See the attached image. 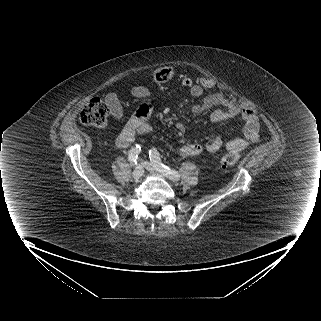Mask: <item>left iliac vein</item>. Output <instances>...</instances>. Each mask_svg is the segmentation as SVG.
Masks as SVG:
<instances>
[{
    "label": "left iliac vein",
    "instance_id": "obj_1",
    "mask_svg": "<svg viewBox=\"0 0 321 321\" xmlns=\"http://www.w3.org/2000/svg\"><path fill=\"white\" fill-rule=\"evenodd\" d=\"M142 165L145 169H147L152 174L157 175V176L164 178V179L167 178V176L164 173L157 170V168L152 163H150L148 161H142Z\"/></svg>",
    "mask_w": 321,
    "mask_h": 321
}]
</instances>
